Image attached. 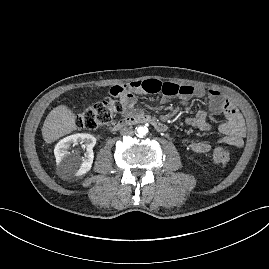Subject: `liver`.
<instances>
[{
    "mask_svg": "<svg viewBox=\"0 0 269 269\" xmlns=\"http://www.w3.org/2000/svg\"><path fill=\"white\" fill-rule=\"evenodd\" d=\"M76 129L75 114L66 105H59L47 115L42 127V136L49 144Z\"/></svg>",
    "mask_w": 269,
    "mask_h": 269,
    "instance_id": "obj_1",
    "label": "liver"
}]
</instances>
